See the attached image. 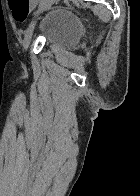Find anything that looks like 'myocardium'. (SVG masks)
Masks as SVG:
<instances>
[{
  "instance_id": "1",
  "label": "myocardium",
  "mask_w": 140,
  "mask_h": 196,
  "mask_svg": "<svg viewBox=\"0 0 140 196\" xmlns=\"http://www.w3.org/2000/svg\"><path fill=\"white\" fill-rule=\"evenodd\" d=\"M35 192H67V191H35Z\"/></svg>"
}]
</instances>
